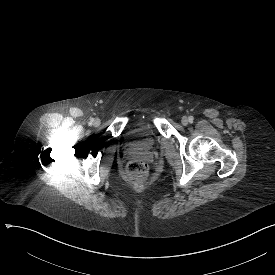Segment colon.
<instances>
[{"instance_id": "colon-1", "label": "colon", "mask_w": 275, "mask_h": 275, "mask_svg": "<svg viewBox=\"0 0 275 275\" xmlns=\"http://www.w3.org/2000/svg\"><path fill=\"white\" fill-rule=\"evenodd\" d=\"M128 173L133 176H143L146 172V163L142 160L131 161L128 166Z\"/></svg>"}]
</instances>
